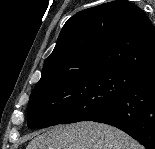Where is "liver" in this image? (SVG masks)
<instances>
[{
    "mask_svg": "<svg viewBox=\"0 0 155 149\" xmlns=\"http://www.w3.org/2000/svg\"><path fill=\"white\" fill-rule=\"evenodd\" d=\"M26 149H144L132 137L110 125L78 122L56 126L34 137Z\"/></svg>",
    "mask_w": 155,
    "mask_h": 149,
    "instance_id": "6515ba94",
    "label": "liver"
}]
</instances>
